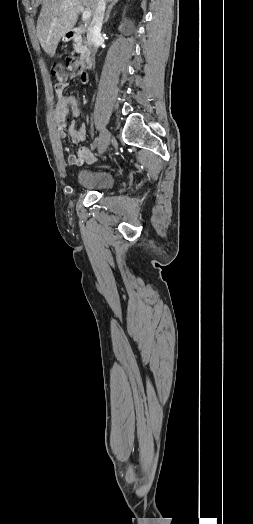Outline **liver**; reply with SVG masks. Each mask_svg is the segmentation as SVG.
<instances>
[{
    "label": "liver",
    "instance_id": "liver-1",
    "mask_svg": "<svg viewBox=\"0 0 253 524\" xmlns=\"http://www.w3.org/2000/svg\"><path fill=\"white\" fill-rule=\"evenodd\" d=\"M73 2L89 9L91 15L95 14L98 4V0H43L37 21V37L43 50L50 56H54L61 37L71 31L77 22L79 9L76 6L65 8Z\"/></svg>",
    "mask_w": 253,
    "mask_h": 524
}]
</instances>
